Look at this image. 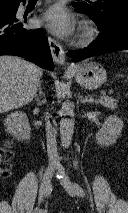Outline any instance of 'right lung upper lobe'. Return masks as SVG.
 <instances>
[{
	"label": "right lung upper lobe",
	"mask_w": 128,
	"mask_h": 213,
	"mask_svg": "<svg viewBox=\"0 0 128 213\" xmlns=\"http://www.w3.org/2000/svg\"><path fill=\"white\" fill-rule=\"evenodd\" d=\"M20 1L25 2V0H0V7H12L19 5Z\"/></svg>",
	"instance_id": "1"
}]
</instances>
